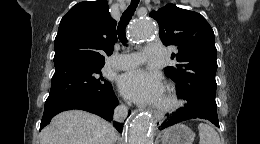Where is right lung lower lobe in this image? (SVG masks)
<instances>
[{
	"label": "right lung lower lobe",
	"instance_id": "98d812e1",
	"mask_svg": "<svg viewBox=\"0 0 260 144\" xmlns=\"http://www.w3.org/2000/svg\"><path fill=\"white\" fill-rule=\"evenodd\" d=\"M117 105L118 99L113 91L95 98H64L46 101L40 129L44 128L56 114L72 109L85 110L110 121L113 119L114 108ZM113 125L119 132H122V123L114 121Z\"/></svg>",
	"mask_w": 260,
	"mask_h": 144
}]
</instances>
